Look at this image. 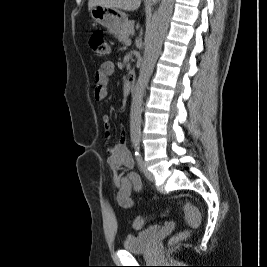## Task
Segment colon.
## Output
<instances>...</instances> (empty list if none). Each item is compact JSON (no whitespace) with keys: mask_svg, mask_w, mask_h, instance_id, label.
Instances as JSON below:
<instances>
[{"mask_svg":"<svg viewBox=\"0 0 267 267\" xmlns=\"http://www.w3.org/2000/svg\"><path fill=\"white\" fill-rule=\"evenodd\" d=\"M89 45L94 53L100 57H105L110 54V46L105 41L101 33H94L89 39ZM184 214L187 224L191 228H196L201 222V215L198 209L192 205L190 202H184ZM146 223V218L143 216H138L133 221V227L135 229H141ZM189 236L188 230H182L171 237L169 243L175 244L179 241L186 239Z\"/></svg>","mask_w":267,"mask_h":267,"instance_id":"colon-1","label":"colon"}]
</instances>
